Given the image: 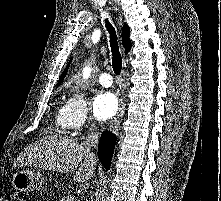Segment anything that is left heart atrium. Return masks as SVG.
Masks as SVG:
<instances>
[{
	"instance_id": "1",
	"label": "left heart atrium",
	"mask_w": 221,
	"mask_h": 201,
	"mask_svg": "<svg viewBox=\"0 0 221 201\" xmlns=\"http://www.w3.org/2000/svg\"><path fill=\"white\" fill-rule=\"evenodd\" d=\"M119 106L117 96L110 91H100L93 102L94 116L101 121H105L113 117Z\"/></svg>"
}]
</instances>
